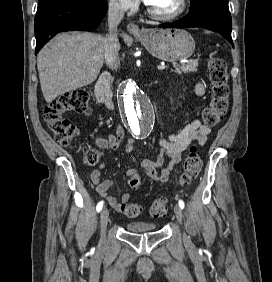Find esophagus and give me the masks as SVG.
<instances>
[{"label": "esophagus", "mask_w": 272, "mask_h": 282, "mask_svg": "<svg viewBox=\"0 0 272 282\" xmlns=\"http://www.w3.org/2000/svg\"><path fill=\"white\" fill-rule=\"evenodd\" d=\"M127 30H128V32H130L133 35L140 33V29H139L138 25H136L135 23H129L127 25Z\"/></svg>", "instance_id": "esophagus-1"}]
</instances>
